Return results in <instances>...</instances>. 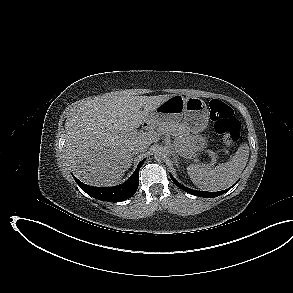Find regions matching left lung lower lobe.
Instances as JSON below:
<instances>
[{
    "instance_id": "0a47b994",
    "label": "left lung lower lobe",
    "mask_w": 293,
    "mask_h": 293,
    "mask_svg": "<svg viewBox=\"0 0 293 293\" xmlns=\"http://www.w3.org/2000/svg\"><path fill=\"white\" fill-rule=\"evenodd\" d=\"M172 178V181L179 187L181 188L182 190L186 191L187 193H190L192 195H195V196H199V197H205V198H210V197H217V196H220L222 195L223 193L227 192L230 188L226 189V190H223V191H219V192H206V191H196V190H193V189H190V188H187L183 185H181L180 183H178L173 177Z\"/></svg>"
}]
</instances>
